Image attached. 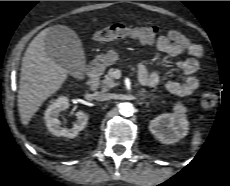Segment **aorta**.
I'll list each match as a JSON object with an SVG mask.
<instances>
[{
	"label": "aorta",
	"mask_w": 230,
	"mask_h": 186,
	"mask_svg": "<svg viewBox=\"0 0 230 186\" xmlns=\"http://www.w3.org/2000/svg\"><path fill=\"white\" fill-rule=\"evenodd\" d=\"M119 112L121 115L129 117L134 113V107L129 102H124L119 105Z\"/></svg>",
	"instance_id": "762f6f07"
}]
</instances>
